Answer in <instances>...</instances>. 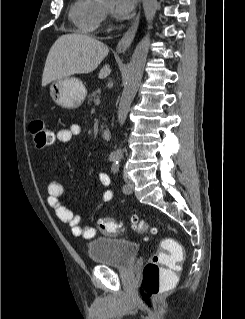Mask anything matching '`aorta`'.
Segmentation results:
<instances>
[{
  "mask_svg": "<svg viewBox=\"0 0 245 319\" xmlns=\"http://www.w3.org/2000/svg\"><path fill=\"white\" fill-rule=\"evenodd\" d=\"M142 4L149 30L152 28V21L156 14L158 2L157 0H142ZM149 47L150 34L147 33L137 44L128 66L124 89L118 107V122L120 126L124 125L131 103L138 91ZM113 156L115 160H120L123 157L122 149L119 148L115 150Z\"/></svg>",
  "mask_w": 245,
  "mask_h": 319,
  "instance_id": "762f6f07",
  "label": "aorta"
}]
</instances>
